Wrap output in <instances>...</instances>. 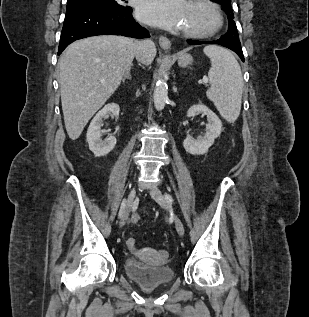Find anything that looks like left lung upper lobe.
Listing matches in <instances>:
<instances>
[{
	"mask_svg": "<svg viewBox=\"0 0 309 317\" xmlns=\"http://www.w3.org/2000/svg\"><path fill=\"white\" fill-rule=\"evenodd\" d=\"M212 1L221 4L223 7V10L228 15L229 28H228L227 33L225 34V37L233 39L237 42H240L238 32H237V27H236V24L233 20L234 14H233L232 6H231V0H212Z\"/></svg>",
	"mask_w": 309,
	"mask_h": 317,
	"instance_id": "left-lung-upper-lobe-1",
	"label": "left lung upper lobe"
}]
</instances>
